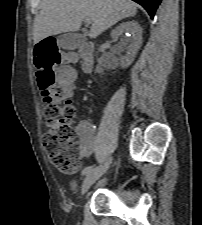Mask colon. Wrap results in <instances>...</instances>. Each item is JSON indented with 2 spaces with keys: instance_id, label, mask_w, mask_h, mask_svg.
<instances>
[{
  "instance_id": "5ec220e1",
  "label": "colon",
  "mask_w": 202,
  "mask_h": 225,
  "mask_svg": "<svg viewBox=\"0 0 202 225\" xmlns=\"http://www.w3.org/2000/svg\"><path fill=\"white\" fill-rule=\"evenodd\" d=\"M59 39L47 37L38 41L34 55L37 59V81L44 104L43 116L53 125L44 134L43 142L50 162L62 173L77 171L80 166V149L73 128L75 109L68 104L69 89L54 82L56 78H73L72 73L61 74L53 68L71 58L68 52L58 49Z\"/></svg>"
}]
</instances>
